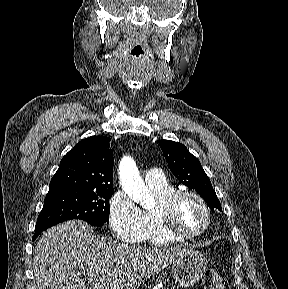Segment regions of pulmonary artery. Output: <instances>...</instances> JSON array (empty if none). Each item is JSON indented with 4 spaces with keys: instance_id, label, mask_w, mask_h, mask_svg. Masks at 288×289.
I'll use <instances>...</instances> for the list:
<instances>
[{
    "instance_id": "1",
    "label": "pulmonary artery",
    "mask_w": 288,
    "mask_h": 289,
    "mask_svg": "<svg viewBox=\"0 0 288 289\" xmlns=\"http://www.w3.org/2000/svg\"><path fill=\"white\" fill-rule=\"evenodd\" d=\"M144 181L148 186H162L167 182L164 172L158 168L149 169L144 175Z\"/></svg>"
}]
</instances>
